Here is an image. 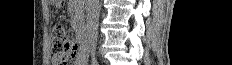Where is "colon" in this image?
I'll return each instance as SVG.
<instances>
[{
  "instance_id": "colon-1",
  "label": "colon",
  "mask_w": 232,
  "mask_h": 65,
  "mask_svg": "<svg viewBox=\"0 0 232 65\" xmlns=\"http://www.w3.org/2000/svg\"><path fill=\"white\" fill-rule=\"evenodd\" d=\"M52 53L58 65H68L77 54L76 44L69 39L65 28L58 24L51 33Z\"/></svg>"
}]
</instances>
